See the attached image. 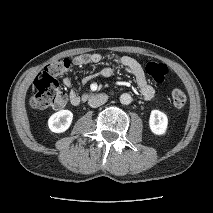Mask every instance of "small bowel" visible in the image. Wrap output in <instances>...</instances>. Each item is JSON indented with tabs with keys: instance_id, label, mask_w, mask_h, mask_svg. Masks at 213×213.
Returning <instances> with one entry per match:
<instances>
[{
	"instance_id": "c3829d8e",
	"label": "small bowel",
	"mask_w": 213,
	"mask_h": 213,
	"mask_svg": "<svg viewBox=\"0 0 213 213\" xmlns=\"http://www.w3.org/2000/svg\"><path fill=\"white\" fill-rule=\"evenodd\" d=\"M104 60V57L98 53H87L77 55L73 58L72 62L76 66H85L89 64H97ZM123 68L126 72L131 74L137 83L140 93L147 101H152L155 97V89L149 84L145 76L141 64L130 56H116L112 57L110 65L105 66L99 74L105 78L112 77L117 68ZM93 76H87L82 79V84L87 83ZM64 86L69 90V99L71 104L77 105L80 103L79 94L73 89L72 80L69 77L63 79Z\"/></svg>"
}]
</instances>
